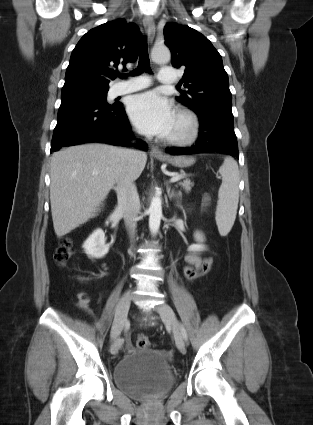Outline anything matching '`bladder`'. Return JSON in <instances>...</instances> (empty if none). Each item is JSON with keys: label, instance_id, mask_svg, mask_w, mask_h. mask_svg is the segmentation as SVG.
Instances as JSON below:
<instances>
[{"label": "bladder", "instance_id": "bladder-1", "mask_svg": "<svg viewBox=\"0 0 313 425\" xmlns=\"http://www.w3.org/2000/svg\"><path fill=\"white\" fill-rule=\"evenodd\" d=\"M116 387L136 399L164 395L174 383V373L162 350L141 349L121 358L114 367Z\"/></svg>", "mask_w": 313, "mask_h": 425}]
</instances>
